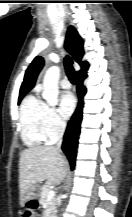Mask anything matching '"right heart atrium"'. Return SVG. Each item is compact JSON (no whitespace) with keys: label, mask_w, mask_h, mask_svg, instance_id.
Returning a JSON list of instances; mask_svg holds the SVG:
<instances>
[{"label":"right heart atrium","mask_w":132,"mask_h":217,"mask_svg":"<svg viewBox=\"0 0 132 217\" xmlns=\"http://www.w3.org/2000/svg\"><path fill=\"white\" fill-rule=\"evenodd\" d=\"M44 130L49 140L56 139L65 130V121L59 116L54 108H47Z\"/></svg>","instance_id":"right-heart-atrium-1"}]
</instances>
